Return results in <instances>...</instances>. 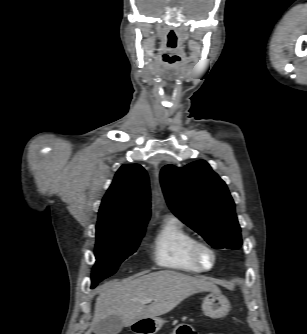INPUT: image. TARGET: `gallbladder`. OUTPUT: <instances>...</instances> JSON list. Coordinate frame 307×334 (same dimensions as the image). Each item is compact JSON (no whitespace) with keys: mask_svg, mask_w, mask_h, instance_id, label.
<instances>
[{"mask_svg":"<svg viewBox=\"0 0 307 334\" xmlns=\"http://www.w3.org/2000/svg\"><path fill=\"white\" fill-rule=\"evenodd\" d=\"M123 321L120 316L111 315L100 322L94 327L95 334H118L123 328Z\"/></svg>","mask_w":307,"mask_h":334,"instance_id":"gallbladder-1","label":"gallbladder"}]
</instances>
